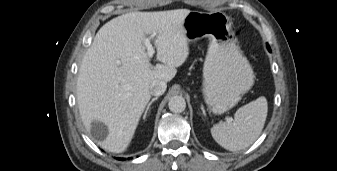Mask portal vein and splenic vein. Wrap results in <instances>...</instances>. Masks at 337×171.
Returning a JSON list of instances; mask_svg holds the SVG:
<instances>
[{
	"mask_svg": "<svg viewBox=\"0 0 337 171\" xmlns=\"http://www.w3.org/2000/svg\"><path fill=\"white\" fill-rule=\"evenodd\" d=\"M154 36H155V34L152 35V37H154ZM144 45H145V47L147 48L148 58H149V59L152 58V57H153V54L155 53V50H154L152 44L150 43V39H149V38H146V39L144 40Z\"/></svg>",
	"mask_w": 337,
	"mask_h": 171,
	"instance_id": "portal-vein-and-splenic-vein-1",
	"label": "portal vein and splenic vein"
}]
</instances>
